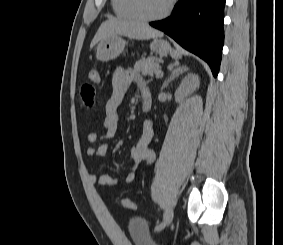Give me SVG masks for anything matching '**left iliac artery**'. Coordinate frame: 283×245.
<instances>
[{"label": "left iliac artery", "mask_w": 283, "mask_h": 245, "mask_svg": "<svg viewBox=\"0 0 283 245\" xmlns=\"http://www.w3.org/2000/svg\"><path fill=\"white\" fill-rule=\"evenodd\" d=\"M151 194H152L153 200L156 202L157 201V196H156V186H155V183H153L152 186H151ZM163 221H164V219H163ZM163 221L160 222L158 225H156V227H155L156 231L161 230V228L163 226Z\"/></svg>", "instance_id": "1"}]
</instances>
